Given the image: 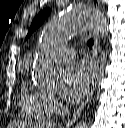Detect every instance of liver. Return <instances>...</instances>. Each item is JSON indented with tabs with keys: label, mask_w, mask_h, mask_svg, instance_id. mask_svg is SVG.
I'll return each mask as SVG.
<instances>
[{
	"label": "liver",
	"mask_w": 125,
	"mask_h": 128,
	"mask_svg": "<svg viewBox=\"0 0 125 128\" xmlns=\"http://www.w3.org/2000/svg\"><path fill=\"white\" fill-rule=\"evenodd\" d=\"M17 128H31V126L29 124L26 123H18L15 125Z\"/></svg>",
	"instance_id": "6515ba94"
}]
</instances>
